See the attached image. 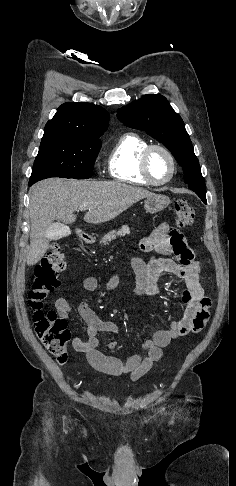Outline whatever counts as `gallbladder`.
Wrapping results in <instances>:
<instances>
[{
    "label": "gallbladder",
    "instance_id": "bac80fb5",
    "mask_svg": "<svg viewBox=\"0 0 236 486\" xmlns=\"http://www.w3.org/2000/svg\"><path fill=\"white\" fill-rule=\"evenodd\" d=\"M65 226L59 222L53 223L50 227V233L52 234V239H60L64 235Z\"/></svg>",
    "mask_w": 236,
    "mask_h": 486
}]
</instances>
